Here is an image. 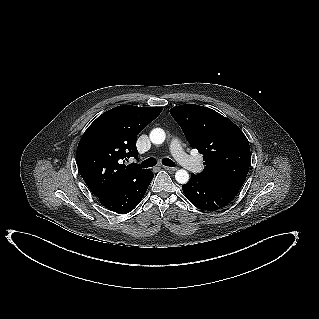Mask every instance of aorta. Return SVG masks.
I'll list each match as a JSON object with an SVG mask.
<instances>
[{
	"label": "aorta",
	"instance_id": "aorta-1",
	"mask_svg": "<svg viewBox=\"0 0 319 319\" xmlns=\"http://www.w3.org/2000/svg\"><path fill=\"white\" fill-rule=\"evenodd\" d=\"M165 137V131L161 128H155L150 132V140L153 144H162ZM175 179L180 184H186L189 181V174L186 170L180 169L175 173Z\"/></svg>",
	"mask_w": 319,
	"mask_h": 319
}]
</instances>
